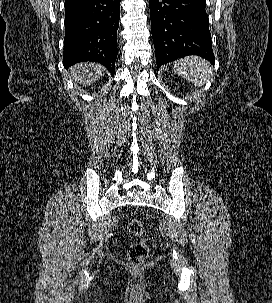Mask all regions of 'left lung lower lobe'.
I'll use <instances>...</instances> for the list:
<instances>
[{
  "instance_id": "1",
  "label": "left lung lower lobe",
  "mask_w": 272,
  "mask_h": 303,
  "mask_svg": "<svg viewBox=\"0 0 272 303\" xmlns=\"http://www.w3.org/2000/svg\"><path fill=\"white\" fill-rule=\"evenodd\" d=\"M157 68L186 55L215 63L206 0H150Z\"/></svg>"
}]
</instances>
